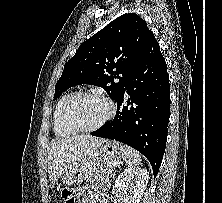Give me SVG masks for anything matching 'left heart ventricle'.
Listing matches in <instances>:
<instances>
[{
    "label": "left heart ventricle",
    "instance_id": "b2bd125f",
    "mask_svg": "<svg viewBox=\"0 0 222 203\" xmlns=\"http://www.w3.org/2000/svg\"><path fill=\"white\" fill-rule=\"evenodd\" d=\"M108 112L104 101L86 96L78 99L70 110L71 120L81 127H90L100 122Z\"/></svg>",
    "mask_w": 222,
    "mask_h": 203
}]
</instances>
